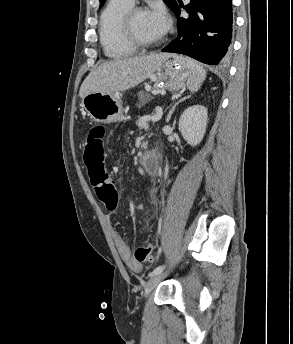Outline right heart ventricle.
<instances>
[{"label": "right heart ventricle", "instance_id": "e07e8e85", "mask_svg": "<svg viewBox=\"0 0 293 344\" xmlns=\"http://www.w3.org/2000/svg\"><path fill=\"white\" fill-rule=\"evenodd\" d=\"M133 6L124 0H109L99 18V39L104 54L112 59H122L136 54L137 48L122 36L120 21L124 13Z\"/></svg>", "mask_w": 293, "mask_h": 344}]
</instances>
